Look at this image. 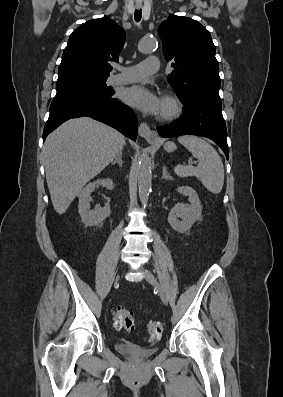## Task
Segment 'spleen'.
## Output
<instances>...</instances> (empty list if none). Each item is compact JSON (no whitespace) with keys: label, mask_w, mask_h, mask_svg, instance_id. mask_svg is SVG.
Wrapping results in <instances>:
<instances>
[{"label":"spleen","mask_w":283,"mask_h":397,"mask_svg":"<svg viewBox=\"0 0 283 397\" xmlns=\"http://www.w3.org/2000/svg\"><path fill=\"white\" fill-rule=\"evenodd\" d=\"M178 142L198 159V166L177 165L174 172L179 177L195 176L201 180L208 191L213 194L220 193L224 184V167L213 146L204 139L192 135L181 136Z\"/></svg>","instance_id":"spleen-1"}]
</instances>
